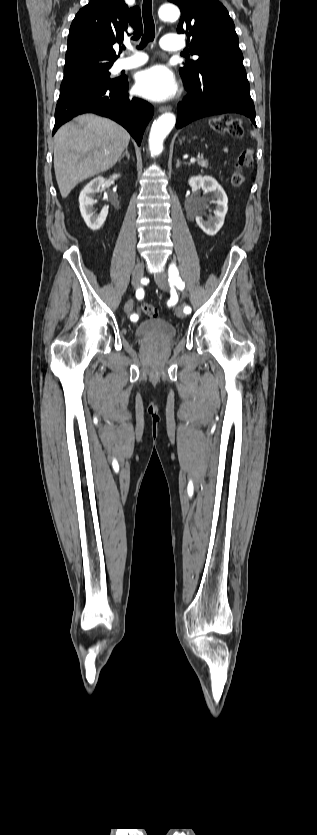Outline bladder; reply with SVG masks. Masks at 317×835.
<instances>
[{
    "label": "bladder",
    "instance_id": "bladder-1",
    "mask_svg": "<svg viewBox=\"0 0 317 835\" xmlns=\"http://www.w3.org/2000/svg\"><path fill=\"white\" fill-rule=\"evenodd\" d=\"M176 333L175 327L170 322L159 317L148 318L135 329V336L138 339L155 343L171 341Z\"/></svg>",
    "mask_w": 317,
    "mask_h": 835
}]
</instances>
